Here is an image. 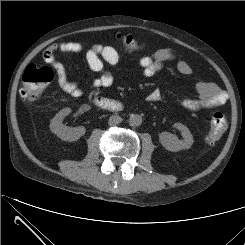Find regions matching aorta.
Wrapping results in <instances>:
<instances>
[{
	"label": "aorta",
	"mask_w": 245,
	"mask_h": 245,
	"mask_svg": "<svg viewBox=\"0 0 245 245\" xmlns=\"http://www.w3.org/2000/svg\"><path fill=\"white\" fill-rule=\"evenodd\" d=\"M129 124L131 126H139L142 124V117L138 114H131L129 117Z\"/></svg>",
	"instance_id": "1"
}]
</instances>
